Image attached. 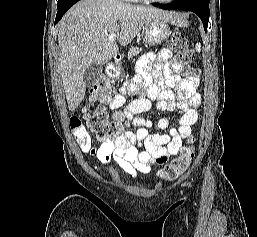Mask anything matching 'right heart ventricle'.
Returning a JSON list of instances; mask_svg holds the SVG:
<instances>
[{"label":"right heart ventricle","mask_w":257,"mask_h":237,"mask_svg":"<svg viewBox=\"0 0 257 237\" xmlns=\"http://www.w3.org/2000/svg\"><path fill=\"white\" fill-rule=\"evenodd\" d=\"M126 1H136V0H126Z\"/></svg>","instance_id":"obj_1"}]
</instances>
